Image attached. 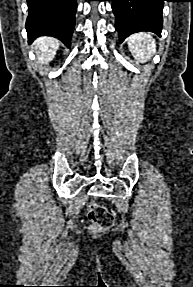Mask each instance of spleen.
I'll return each instance as SVG.
<instances>
[{
	"label": "spleen",
	"mask_w": 193,
	"mask_h": 287,
	"mask_svg": "<svg viewBox=\"0 0 193 287\" xmlns=\"http://www.w3.org/2000/svg\"><path fill=\"white\" fill-rule=\"evenodd\" d=\"M127 44L132 55L140 63L150 60L156 52V42L149 33L133 34L128 38Z\"/></svg>",
	"instance_id": "obj_1"
}]
</instances>
